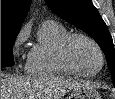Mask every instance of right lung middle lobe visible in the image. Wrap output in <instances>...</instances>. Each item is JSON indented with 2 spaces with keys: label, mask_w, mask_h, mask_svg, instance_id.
<instances>
[{
  "label": "right lung middle lobe",
  "mask_w": 115,
  "mask_h": 99,
  "mask_svg": "<svg viewBox=\"0 0 115 99\" xmlns=\"http://www.w3.org/2000/svg\"><path fill=\"white\" fill-rule=\"evenodd\" d=\"M18 33H1V67L14 65L13 44Z\"/></svg>",
  "instance_id": "1"
}]
</instances>
